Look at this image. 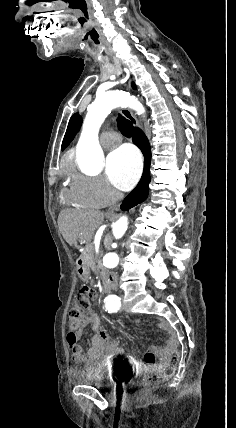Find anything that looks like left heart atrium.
Wrapping results in <instances>:
<instances>
[{"label": "left heart atrium", "instance_id": "obj_1", "mask_svg": "<svg viewBox=\"0 0 236 428\" xmlns=\"http://www.w3.org/2000/svg\"><path fill=\"white\" fill-rule=\"evenodd\" d=\"M141 171V157L137 150L129 145L120 146L106 160L107 176L121 190L131 189L139 180Z\"/></svg>", "mask_w": 236, "mask_h": 428}]
</instances>
